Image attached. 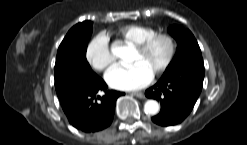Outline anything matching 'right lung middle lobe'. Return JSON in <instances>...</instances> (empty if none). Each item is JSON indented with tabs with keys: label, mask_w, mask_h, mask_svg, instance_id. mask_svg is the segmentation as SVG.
<instances>
[{
	"label": "right lung middle lobe",
	"mask_w": 247,
	"mask_h": 145,
	"mask_svg": "<svg viewBox=\"0 0 247 145\" xmlns=\"http://www.w3.org/2000/svg\"><path fill=\"white\" fill-rule=\"evenodd\" d=\"M92 34V22L72 27L60 44L55 63V82L73 74H95L86 59L87 44Z\"/></svg>",
	"instance_id": "obj_1"
}]
</instances>
